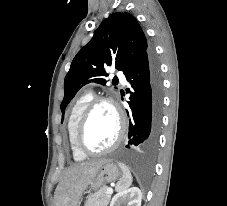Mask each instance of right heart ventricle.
Listing matches in <instances>:
<instances>
[{
    "mask_svg": "<svg viewBox=\"0 0 227 206\" xmlns=\"http://www.w3.org/2000/svg\"><path fill=\"white\" fill-rule=\"evenodd\" d=\"M93 99V95L90 92L82 94L80 97H78L75 102L73 103L67 123H66V132H67V138H68V144L69 148L72 154V157L76 161H82L87 156L83 153H81L75 146L74 136H75V129L77 126V123L79 121V118L87 106V104Z\"/></svg>",
    "mask_w": 227,
    "mask_h": 206,
    "instance_id": "1",
    "label": "right heart ventricle"
}]
</instances>
